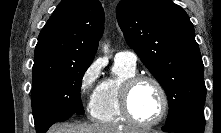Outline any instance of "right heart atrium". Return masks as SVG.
Segmentation results:
<instances>
[{
  "mask_svg": "<svg viewBox=\"0 0 221 133\" xmlns=\"http://www.w3.org/2000/svg\"><path fill=\"white\" fill-rule=\"evenodd\" d=\"M101 66L98 61L92 62L82 73L79 84L80 97L85 107L91 111L96 94L97 81L100 76Z\"/></svg>",
  "mask_w": 221,
  "mask_h": 133,
  "instance_id": "obj_1",
  "label": "right heart atrium"
}]
</instances>
